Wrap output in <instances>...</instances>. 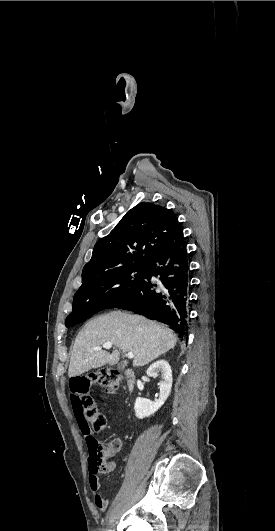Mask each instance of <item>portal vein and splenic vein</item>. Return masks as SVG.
Masks as SVG:
<instances>
[{"label":"portal vein and splenic vein","instance_id":"18ae733b","mask_svg":"<svg viewBox=\"0 0 275 531\" xmlns=\"http://www.w3.org/2000/svg\"><path fill=\"white\" fill-rule=\"evenodd\" d=\"M113 347V343H110V341H107V343H104L102 347H94L93 351H101V349H111ZM128 359H134L133 353H128L127 355Z\"/></svg>","mask_w":275,"mask_h":531}]
</instances>
